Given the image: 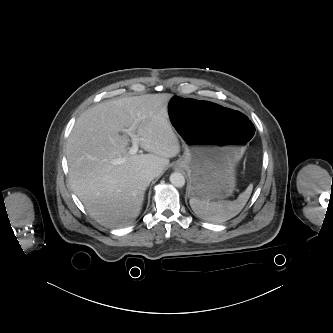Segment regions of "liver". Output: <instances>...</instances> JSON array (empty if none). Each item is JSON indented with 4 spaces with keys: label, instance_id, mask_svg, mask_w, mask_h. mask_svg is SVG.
Masks as SVG:
<instances>
[{
    "label": "liver",
    "instance_id": "1",
    "mask_svg": "<svg viewBox=\"0 0 333 333\" xmlns=\"http://www.w3.org/2000/svg\"><path fill=\"white\" fill-rule=\"evenodd\" d=\"M172 95L146 94L99 103L76 121L66 146L69 179L75 194L99 223L121 227L134 222L142 210L149 182L138 173L158 171L180 152V144L168 119ZM130 128L149 154L128 153ZM126 160L120 165L112 161Z\"/></svg>",
    "mask_w": 333,
    "mask_h": 333
}]
</instances>
